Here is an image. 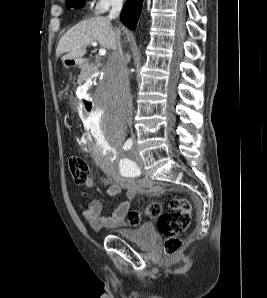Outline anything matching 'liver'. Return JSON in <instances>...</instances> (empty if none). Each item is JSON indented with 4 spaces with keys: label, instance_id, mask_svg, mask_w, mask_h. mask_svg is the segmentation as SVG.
<instances>
[{
    "label": "liver",
    "instance_id": "1",
    "mask_svg": "<svg viewBox=\"0 0 267 298\" xmlns=\"http://www.w3.org/2000/svg\"><path fill=\"white\" fill-rule=\"evenodd\" d=\"M120 36L108 17L97 16L83 20L69 29L59 40L56 56L62 54V61L80 60L86 54V47L94 41L106 49H113Z\"/></svg>",
    "mask_w": 267,
    "mask_h": 298
}]
</instances>
